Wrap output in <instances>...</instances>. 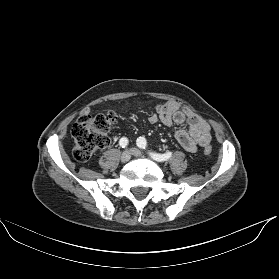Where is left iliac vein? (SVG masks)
Returning a JSON list of instances; mask_svg holds the SVG:
<instances>
[{"label":"left iliac vein","mask_w":279,"mask_h":279,"mask_svg":"<svg viewBox=\"0 0 279 279\" xmlns=\"http://www.w3.org/2000/svg\"><path fill=\"white\" fill-rule=\"evenodd\" d=\"M131 153H132L133 156H136V157L142 156V152L137 148H132Z\"/></svg>","instance_id":"1"}]
</instances>
